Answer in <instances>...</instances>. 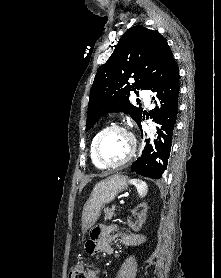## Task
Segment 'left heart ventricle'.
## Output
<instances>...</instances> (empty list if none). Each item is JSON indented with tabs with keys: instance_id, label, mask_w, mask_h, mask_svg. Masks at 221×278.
I'll return each mask as SVG.
<instances>
[{
	"instance_id": "left-heart-ventricle-1",
	"label": "left heart ventricle",
	"mask_w": 221,
	"mask_h": 278,
	"mask_svg": "<svg viewBox=\"0 0 221 278\" xmlns=\"http://www.w3.org/2000/svg\"><path fill=\"white\" fill-rule=\"evenodd\" d=\"M129 137L120 131L108 133L100 144V156L108 164H115L127 157L130 152Z\"/></svg>"
}]
</instances>
